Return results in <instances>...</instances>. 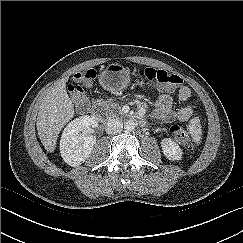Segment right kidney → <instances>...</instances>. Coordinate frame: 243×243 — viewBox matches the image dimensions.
Wrapping results in <instances>:
<instances>
[{
    "mask_svg": "<svg viewBox=\"0 0 243 243\" xmlns=\"http://www.w3.org/2000/svg\"><path fill=\"white\" fill-rule=\"evenodd\" d=\"M96 117L80 116L64 128L60 140V153L68 165L77 167L90 156L96 137L91 135V129L97 127Z\"/></svg>",
    "mask_w": 243,
    "mask_h": 243,
    "instance_id": "ca27d5eb",
    "label": "right kidney"
}]
</instances>
